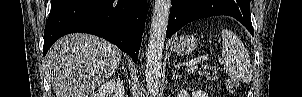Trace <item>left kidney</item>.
<instances>
[{
  "mask_svg": "<svg viewBox=\"0 0 302 97\" xmlns=\"http://www.w3.org/2000/svg\"><path fill=\"white\" fill-rule=\"evenodd\" d=\"M189 96H190L189 93L185 89L180 90L179 93L177 94V97H189ZM192 97H208V94L202 90H194L192 91Z\"/></svg>",
  "mask_w": 302,
  "mask_h": 97,
  "instance_id": "1",
  "label": "left kidney"
}]
</instances>
